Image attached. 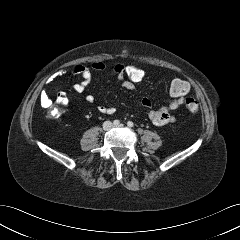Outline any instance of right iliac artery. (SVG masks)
Segmentation results:
<instances>
[{
	"label": "right iliac artery",
	"instance_id": "82829eb1",
	"mask_svg": "<svg viewBox=\"0 0 240 240\" xmlns=\"http://www.w3.org/2000/svg\"><path fill=\"white\" fill-rule=\"evenodd\" d=\"M113 124H114L115 126H118V125L120 124V121H119V120H114V121H113Z\"/></svg>",
	"mask_w": 240,
	"mask_h": 240
}]
</instances>
